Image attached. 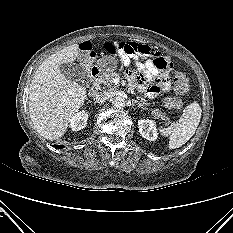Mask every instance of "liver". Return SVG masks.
I'll return each instance as SVG.
<instances>
[{"instance_id": "liver-1", "label": "liver", "mask_w": 233, "mask_h": 233, "mask_svg": "<svg viewBox=\"0 0 233 233\" xmlns=\"http://www.w3.org/2000/svg\"><path fill=\"white\" fill-rule=\"evenodd\" d=\"M73 44L49 56L36 70L30 84L29 113L37 132L48 140L61 138L87 97L86 88L61 73L60 65L79 56Z\"/></svg>"}]
</instances>
